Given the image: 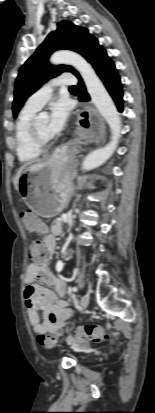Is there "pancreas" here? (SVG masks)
<instances>
[{
	"label": "pancreas",
	"instance_id": "cf45deb5",
	"mask_svg": "<svg viewBox=\"0 0 155 413\" xmlns=\"http://www.w3.org/2000/svg\"><path fill=\"white\" fill-rule=\"evenodd\" d=\"M60 225H61L60 219H56V220L53 222L52 230H53L54 233H56V234L58 233L57 228L60 227Z\"/></svg>",
	"mask_w": 155,
	"mask_h": 413
}]
</instances>
